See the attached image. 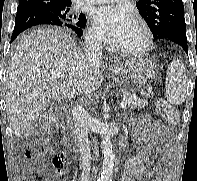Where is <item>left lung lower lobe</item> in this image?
<instances>
[{
	"label": "left lung lower lobe",
	"mask_w": 197,
	"mask_h": 181,
	"mask_svg": "<svg viewBox=\"0 0 197 181\" xmlns=\"http://www.w3.org/2000/svg\"><path fill=\"white\" fill-rule=\"evenodd\" d=\"M167 39L180 45L188 54L186 29H176L167 34Z\"/></svg>",
	"instance_id": "0a47b994"
}]
</instances>
